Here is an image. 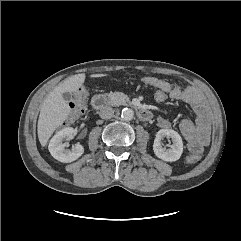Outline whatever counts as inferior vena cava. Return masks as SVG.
Instances as JSON below:
<instances>
[{
    "label": "inferior vena cava",
    "instance_id": "inferior-vena-cava-1",
    "mask_svg": "<svg viewBox=\"0 0 241 241\" xmlns=\"http://www.w3.org/2000/svg\"><path fill=\"white\" fill-rule=\"evenodd\" d=\"M99 115L102 119H110L114 115V110L110 106H105L99 111Z\"/></svg>",
    "mask_w": 241,
    "mask_h": 241
}]
</instances>
